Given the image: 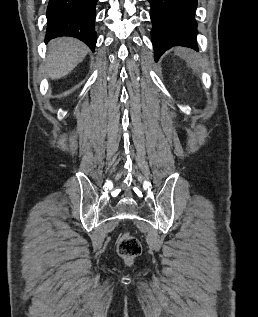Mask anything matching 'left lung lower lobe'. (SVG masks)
I'll return each instance as SVG.
<instances>
[{
	"label": "left lung lower lobe",
	"instance_id": "0a47b994",
	"mask_svg": "<svg viewBox=\"0 0 258 317\" xmlns=\"http://www.w3.org/2000/svg\"><path fill=\"white\" fill-rule=\"evenodd\" d=\"M155 60L174 46L198 50L195 12L198 0H148Z\"/></svg>",
	"mask_w": 258,
	"mask_h": 317
}]
</instances>
